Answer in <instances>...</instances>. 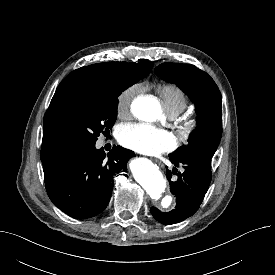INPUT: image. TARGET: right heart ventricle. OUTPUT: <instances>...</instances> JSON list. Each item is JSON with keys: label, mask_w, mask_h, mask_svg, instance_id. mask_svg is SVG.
Wrapping results in <instances>:
<instances>
[{"label": "right heart ventricle", "mask_w": 275, "mask_h": 275, "mask_svg": "<svg viewBox=\"0 0 275 275\" xmlns=\"http://www.w3.org/2000/svg\"><path fill=\"white\" fill-rule=\"evenodd\" d=\"M168 115L177 116L188 106V99L185 92L175 84H163L157 88Z\"/></svg>", "instance_id": "1"}]
</instances>
